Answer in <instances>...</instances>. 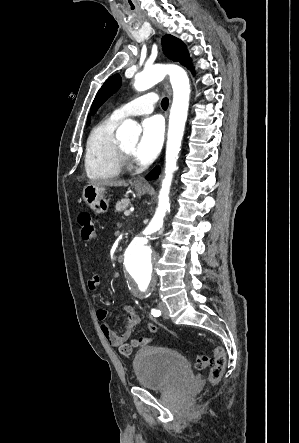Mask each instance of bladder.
Here are the masks:
<instances>
[{
    "instance_id": "31cf9c89",
    "label": "bladder",
    "mask_w": 299,
    "mask_h": 443,
    "mask_svg": "<svg viewBox=\"0 0 299 443\" xmlns=\"http://www.w3.org/2000/svg\"><path fill=\"white\" fill-rule=\"evenodd\" d=\"M136 382L147 389H164L193 379L186 358L179 352L163 347L139 351L132 362Z\"/></svg>"
}]
</instances>
